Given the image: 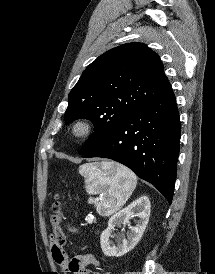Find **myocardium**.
<instances>
[{"instance_id":"1","label":"myocardium","mask_w":215,"mask_h":274,"mask_svg":"<svg viewBox=\"0 0 215 274\" xmlns=\"http://www.w3.org/2000/svg\"><path fill=\"white\" fill-rule=\"evenodd\" d=\"M69 130L72 137L83 140L93 133L94 127L88 119L79 118L71 123Z\"/></svg>"}]
</instances>
